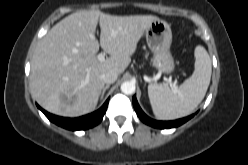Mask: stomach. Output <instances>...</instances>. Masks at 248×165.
<instances>
[{
	"instance_id": "obj_1",
	"label": "stomach",
	"mask_w": 248,
	"mask_h": 165,
	"mask_svg": "<svg viewBox=\"0 0 248 165\" xmlns=\"http://www.w3.org/2000/svg\"><path fill=\"white\" fill-rule=\"evenodd\" d=\"M147 45L153 53V66L164 74H170L174 70V60L170 52L172 32L170 25L157 19L145 30Z\"/></svg>"
}]
</instances>
